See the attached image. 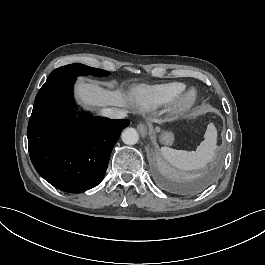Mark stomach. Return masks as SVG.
<instances>
[{
    "label": "stomach",
    "instance_id": "obj_1",
    "mask_svg": "<svg viewBox=\"0 0 265 265\" xmlns=\"http://www.w3.org/2000/svg\"><path fill=\"white\" fill-rule=\"evenodd\" d=\"M159 140L164 145H172L174 142V134L172 132L163 131L159 137Z\"/></svg>",
    "mask_w": 265,
    "mask_h": 265
}]
</instances>
